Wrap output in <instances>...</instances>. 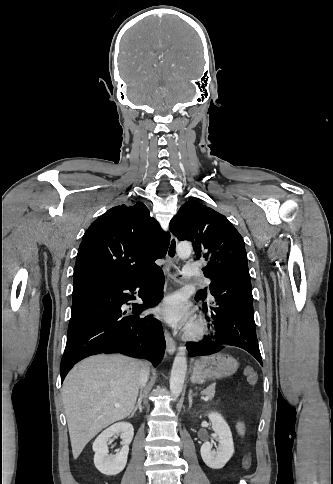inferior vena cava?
I'll use <instances>...</instances> for the list:
<instances>
[{
    "label": "inferior vena cava",
    "instance_id": "602c4592",
    "mask_svg": "<svg viewBox=\"0 0 333 484\" xmlns=\"http://www.w3.org/2000/svg\"><path fill=\"white\" fill-rule=\"evenodd\" d=\"M148 376H149L148 363L144 362L143 366L141 368V371H140V375H139V381H140L141 388L146 385V383L148 381Z\"/></svg>",
    "mask_w": 333,
    "mask_h": 484
}]
</instances>
